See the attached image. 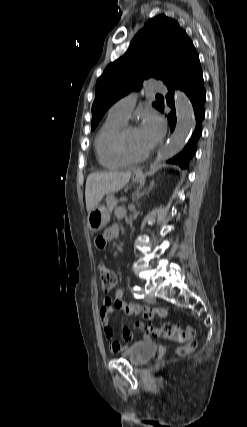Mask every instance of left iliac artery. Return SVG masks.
I'll return each mask as SVG.
<instances>
[{
	"label": "left iliac artery",
	"mask_w": 247,
	"mask_h": 427,
	"mask_svg": "<svg viewBox=\"0 0 247 427\" xmlns=\"http://www.w3.org/2000/svg\"><path fill=\"white\" fill-rule=\"evenodd\" d=\"M132 292L135 298L141 299L144 298V292L139 286H134Z\"/></svg>",
	"instance_id": "44dca946"
}]
</instances>
